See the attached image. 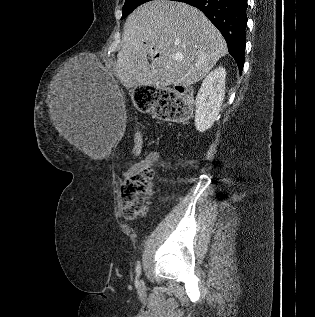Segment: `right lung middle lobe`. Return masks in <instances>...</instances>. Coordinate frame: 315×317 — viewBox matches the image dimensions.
I'll return each instance as SVG.
<instances>
[{
  "label": "right lung middle lobe",
  "mask_w": 315,
  "mask_h": 317,
  "mask_svg": "<svg viewBox=\"0 0 315 317\" xmlns=\"http://www.w3.org/2000/svg\"><path fill=\"white\" fill-rule=\"evenodd\" d=\"M148 1L152 0H126L123 6V14L121 19L126 18L135 8Z\"/></svg>",
  "instance_id": "right-lung-middle-lobe-1"
}]
</instances>
